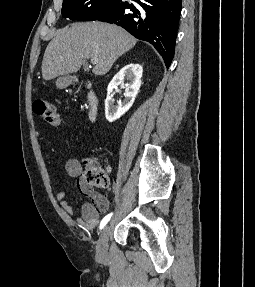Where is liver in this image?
Masks as SVG:
<instances>
[{
    "label": "liver",
    "instance_id": "liver-1",
    "mask_svg": "<svg viewBox=\"0 0 255 287\" xmlns=\"http://www.w3.org/2000/svg\"><path fill=\"white\" fill-rule=\"evenodd\" d=\"M137 40L123 28L104 22L70 24L49 42L42 62L43 80H54L80 70L84 60L98 58L93 74L103 76L114 62L134 48Z\"/></svg>",
    "mask_w": 255,
    "mask_h": 287
}]
</instances>
